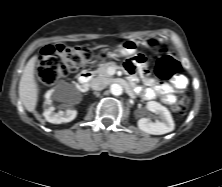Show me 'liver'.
Masks as SVG:
<instances>
[{
    "label": "liver",
    "instance_id": "liver-1",
    "mask_svg": "<svg viewBox=\"0 0 222 187\" xmlns=\"http://www.w3.org/2000/svg\"><path fill=\"white\" fill-rule=\"evenodd\" d=\"M37 57H32L26 64L19 82V97L27 111L33 112L38 100V87L34 77Z\"/></svg>",
    "mask_w": 222,
    "mask_h": 187
}]
</instances>
